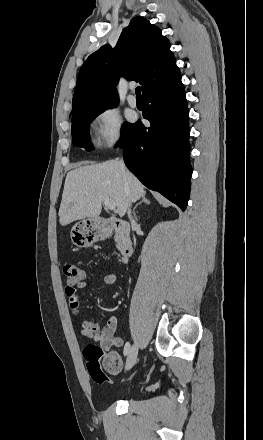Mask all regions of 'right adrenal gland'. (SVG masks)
<instances>
[{
	"instance_id": "2a0ac1e0",
	"label": "right adrenal gland",
	"mask_w": 263,
	"mask_h": 440,
	"mask_svg": "<svg viewBox=\"0 0 263 440\" xmlns=\"http://www.w3.org/2000/svg\"><path fill=\"white\" fill-rule=\"evenodd\" d=\"M141 203H146V204L149 205V204H150V201L147 199V197L142 196V200H141L139 203H137V204L135 205V207L133 208V215H134L135 220H138V218H137V216H136V213H135V210H136L137 206L140 205Z\"/></svg>"
}]
</instances>
